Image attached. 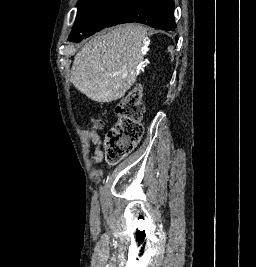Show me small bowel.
I'll use <instances>...</instances> for the list:
<instances>
[{"label":"small bowel","instance_id":"small-bowel-1","mask_svg":"<svg viewBox=\"0 0 256 267\" xmlns=\"http://www.w3.org/2000/svg\"><path fill=\"white\" fill-rule=\"evenodd\" d=\"M91 137H92L93 142L98 145V148L96 149V152H95V156L93 158V162L96 164L102 163L103 162V153L99 147L100 137L97 134H92Z\"/></svg>","mask_w":256,"mask_h":267}]
</instances>
